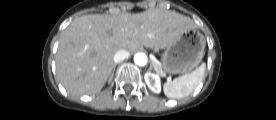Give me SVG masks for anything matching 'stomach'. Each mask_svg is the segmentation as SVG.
Wrapping results in <instances>:
<instances>
[{
  "mask_svg": "<svg viewBox=\"0 0 276 120\" xmlns=\"http://www.w3.org/2000/svg\"><path fill=\"white\" fill-rule=\"evenodd\" d=\"M206 40L197 29L183 32L178 39L166 47L155 70L167 74H187L199 65L205 53Z\"/></svg>",
  "mask_w": 276,
  "mask_h": 120,
  "instance_id": "1",
  "label": "stomach"
}]
</instances>
